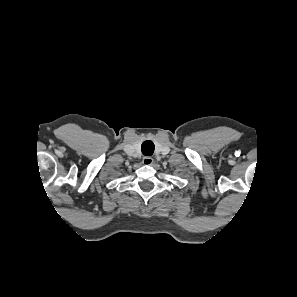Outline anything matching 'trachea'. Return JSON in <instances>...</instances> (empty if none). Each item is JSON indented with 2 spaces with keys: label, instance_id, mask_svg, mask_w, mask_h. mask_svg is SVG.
Wrapping results in <instances>:
<instances>
[{
  "label": "trachea",
  "instance_id": "3493384b",
  "mask_svg": "<svg viewBox=\"0 0 297 297\" xmlns=\"http://www.w3.org/2000/svg\"><path fill=\"white\" fill-rule=\"evenodd\" d=\"M154 148V143L150 140L144 141L141 146L142 153L146 156L152 155L154 152Z\"/></svg>",
  "mask_w": 297,
  "mask_h": 297
}]
</instances>
